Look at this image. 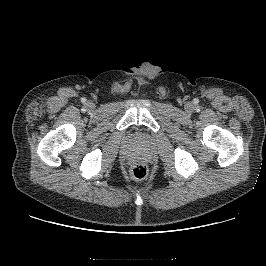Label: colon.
Here are the masks:
<instances>
[{
	"label": "colon",
	"instance_id": "colon-1",
	"mask_svg": "<svg viewBox=\"0 0 266 266\" xmlns=\"http://www.w3.org/2000/svg\"><path fill=\"white\" fill-rule=\"evenodd\" d=\"M148 175V168L143 163H136L130 169V176L136 181L144 180Z\"/></svg>",
	"mask_w": 266,
	"mask_h": 266
}]
</instances>
